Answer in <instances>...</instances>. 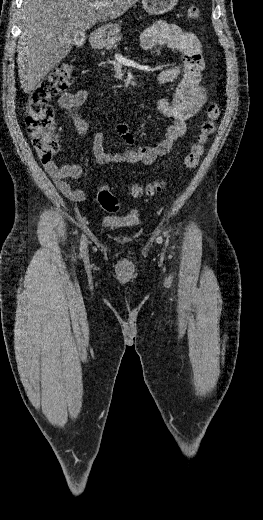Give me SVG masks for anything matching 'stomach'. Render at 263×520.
<instances>
[{"mask_svg": "<svg viewBox=\"0 0 263 520\" xmlns=\"http://www.w3.org/2000/svg\"><path fill=\"white\" fill-rule=\"evenodd\" d=\"M178 0H142L143 9L149 15L164 14L177 5ZM120 25L118 23L108 24L98 29L91 37V44L95 48H103L106 41L118 35Z\"/></svg>", "mask_w": 263, "mask_h": 520, "instance_id": "stomach-1", "label": "stomach"}]
</instances>
